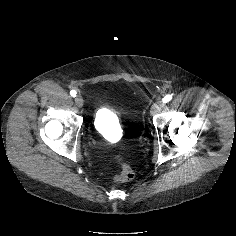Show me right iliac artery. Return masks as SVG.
<instances>
[{"mask_svg": "<svg viewBox=\"0 0 236 236\" xmlns=\"http://www.w3.org/2000/svg\"><path fill=\"white\" fill-rule=\"evenodd\" d=\"M77 92L75 90L70 91V95L76 97Z\"/></svg>", "mask_w": 236, "mask_h": 236, "instance_id": "right-iliac-artery-1", "label": "right iliac artery"}]
</instances>
